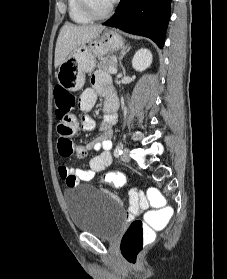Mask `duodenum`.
Listing matches in <instances>:
<instances>
[{"instance_id": "410a0bca", "label": "duodenum", "mask_w": 227, "mask_h": 279, "mask_svg": "<svg viewBox=\"0 0 227 279\" xmlns=\"http://www.w3.org/2000/svg\"><path fill=\"white\" fill-rule=\"evenodd\" d=\"M118 110V106L115 102H109L106 108V111L109 114H115Z\"/></svg>"}]
</instances>
